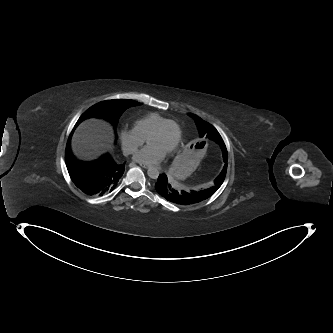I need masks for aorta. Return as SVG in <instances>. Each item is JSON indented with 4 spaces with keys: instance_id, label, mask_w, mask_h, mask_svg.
<instances>
[{
    "instance_id": "aorta-1",
    "label": "aorta",
    "mask_w": 333,
    "mask_h": 333,
    "mask_svg": "<svg viewBox=\"0 0 333 333\" xmlns=\"http://www.w3.org/2000/svg\"><path fill=\"white\" fill-rule=\"evenodd\" d=\"M148 176L152 179H157L159 176V171L156 168H149L148 169Z\"/></svg>"
}]
</instances>
